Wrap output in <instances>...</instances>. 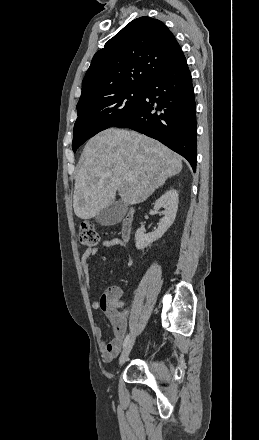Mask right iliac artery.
Segmentation results:
<instances>
[{"label": "right iliac artery", "instance_id": "82829eb1", "mask_svg": "<svg viewBox=\"0 0 259 440\" xmlns=\"http://www.w3.org/2000/svg\"><path fill=\"white\" fill-rule=\"evenodd\" d=\"M129 340H130V334H128V335L125 337V339H124V343H123V347H126V345H127V343L129 342Z\"/></svg>", "mask_w": 259, "mask_h": 440}]
</instances>
